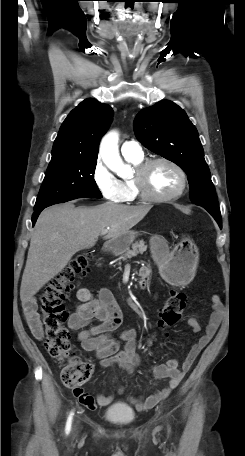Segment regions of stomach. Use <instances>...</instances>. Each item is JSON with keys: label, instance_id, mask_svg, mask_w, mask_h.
Instances as JSON below:
<instances>
[{"label": "stomach", "instance_id": "0dacf381", "mask_svg": "<svg viewBox=\"0 0 245 456\" xmlns=\"http://www.w3.org/2000/svg\"><path fill=\"white\" fill-rule=\"evenodd\" d=\"M138 233L129 231L115 239L113 245L117 251L127 249ZM152 258L159 267L161 275L172 285H184L194 275L198 263V248L194 242L183 235L181 241L170 251L166 240L154 235L150 239Z\"/></svg>", "mask_w": 245, "mask_h": 456}]
</instances>
